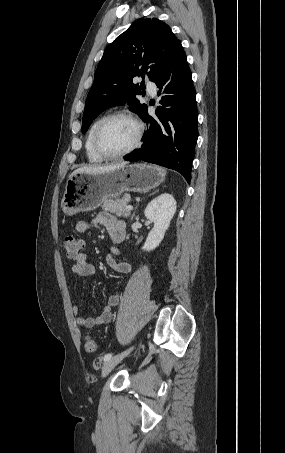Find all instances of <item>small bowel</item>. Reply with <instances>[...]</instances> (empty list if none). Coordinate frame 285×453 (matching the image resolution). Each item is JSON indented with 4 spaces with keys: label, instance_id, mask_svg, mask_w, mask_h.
<instances>
[{
    "label": "small bowel",
    "instance_id": "c3829d8e",
    "mask_svg": "<svg viewBox=\"0 0 285 453\" xmlns=\"http://www.w3.org/2000/svg\"><path fill=\"white\" fill-rule=\"evenodd\" d=\"M95 225H102L106 229L113 244L121 243L125 238V222L117 219L108 212H100L91 220H80L76 224V230L80 233H90ZM118 253V249L113 247L112 254L106 256V263L118 273H130L132 268L129 263L118 262L115 259L114 255ZM71 270L73 275L80 279L92 276L96 273V268L87 261V256L84 253L75 259V263L72 265ZM119 300L120 297L118 295L109 296L102 312L95 317H81L79 316V308L73 306L72 312L74 316H76L77 326L90 329L97 325L109 323L112 319V310L119 303Z\"/></svg>",
    "mask_w": 285,
    "mask_h": 453
}]
</instances>
